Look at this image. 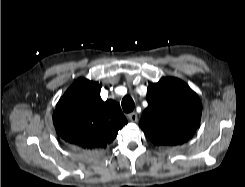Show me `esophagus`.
I'll return each instance as SVG.
<instances>
[{
	"mask_svg": "<svg viewBox=\"0 0 245 187\" xmlns=\"http://www.w3.org/2000/svg\"><path fill=\"white\" fill-rule=\"evenodd\" d=\"M128 119L131 121V122H137L138 121V115L136 112H131L127 115Z\"/></svg>",
	"mask_w": 245,
	"mask_h": 187,
	"instance_id": "esophagus-1",
	"label": "esophagus"
}]
</instances>
